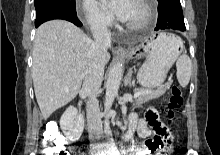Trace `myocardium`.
<instances>
[{"instance_id": "obj_1", "label": "myocardium", "mask_w": 220, "mask_h": 155, "mask_svg": "<svg viewBox=\"0 0 220 155\" xmlns=\"http://www.w3.org/2000/svg\"><path fill=\"white\" fill-rule=\"evenodd\" d=\"M137 3L142 5L145 10V17L139 23H127L125 22V26L128 29L132 30H140L147 27L154 19L155 16V5L153 0H135Z\"/></svg>"}]
</instances>
